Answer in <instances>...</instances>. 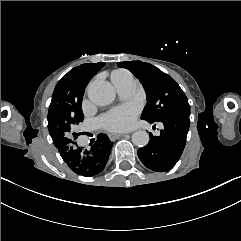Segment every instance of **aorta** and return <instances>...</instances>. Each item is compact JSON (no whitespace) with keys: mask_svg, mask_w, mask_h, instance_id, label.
I'll return each mask as SVG.
<instances>
[{"mask_svg":"<svg viewBox=\"0 0 241 241\" xmlns=\"http://www.w3.org/2000/svg\"><path fill=\"white\" fill-rule=\"evenodd\" d=\"M87 95L94 104L106 106L115 99V90L111 83L105 80H94L88 86ZM149 139V134L144 130H138L132 135V142L138 147L146 146Z\"/></svg>","mask_w":241,"mask_h":241,"instance_id":"aorta-1","label":"aorta"}]
</instances>
